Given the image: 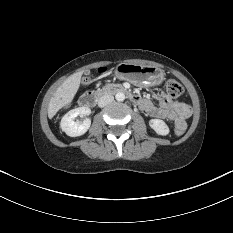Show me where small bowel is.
Here are the masks:
<instances>
[{"label": "small bowel", "instance_id": "small-bowel-1", "mask_svg": "<svg viewBox=\"0 0 233 233\" xmlns=\"http://www.w3.org/2000/svg\"><path fill=\"white\" fill-rule=\"evenodd\" d=\"M116 83L122 82L121 76L115 77ZM157 104L155 105L149 99H140L139 106L141 109L152 117L167 119L174 122L175 127L186 128V121L190 117L191 107L184 102L174 101L163 94L156 95Z\"/></svg>", "mask_w": 233, "mask_h": 233}]
</instances>
